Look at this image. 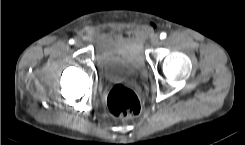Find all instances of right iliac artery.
I'll list each match as a JSON object with an SVG mask.
<instances>
[{
    "instance_id": "1",
    "label": "right iliac artery",
    "mask_w": 245,
    "mask_h": 145,
    "mask_svg": "<svg viewBox=\"0 0 245 145\" xmlns=\"http://www.w3.org/2000/svg\"><path fill=\"white\" fill-rule=\"evenodd\" d=\"M69 43H70V44H74V40H73V39H70V40H69Z\"/></svg>"
}]
</instances>
